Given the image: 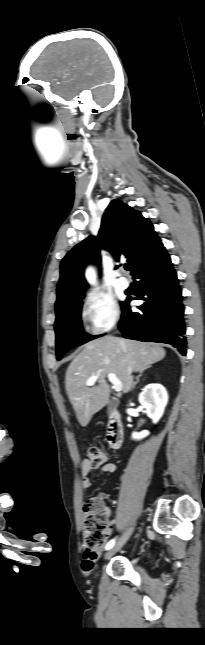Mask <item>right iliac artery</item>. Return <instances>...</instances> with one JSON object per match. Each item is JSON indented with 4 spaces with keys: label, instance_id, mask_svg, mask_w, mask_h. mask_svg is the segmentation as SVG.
I'll use <instances>...</instances> for the list:
<instances>
[{
    "label": "right iliac artery",
    "instance_id": "82829eb1",
    "mask_svg": "<svg viewBox=\"0 0 205 645\" xmlns=\"http://www.w3.org/2000/svg\"><path fill=\"white\" fill-rule=\"evenodd\" d=\"M114 543H115V539H112L111 541H109L108 544L106 545V549H110L114 545Z\"/></svg>",
    "mask_w": 205,
    "mask_h": 645
}]
</instances>
